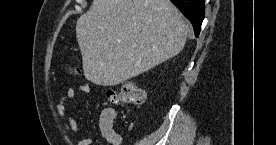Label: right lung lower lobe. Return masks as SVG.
Listing matches in <instances>:
<instances>
[{
  "label": "right lung lower lobe",
  "mask_w": 276,
  "mask_h": 145,
  "mask_svg": "<svg viewBox=\"0 0 276 145\" xmlns=\"http://www.w3.org/2000/svg\"><path fill=\"white\" fill-rule=\"evenodd\" d=\"M183 13V15L190 20L193 25L195 36L198 37L201 24L205 14L204 0H171Z\"/></svg>",
  "instance_id": "right-lung-lower-lobe-1"
}]
</instances>
